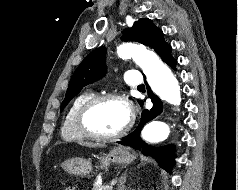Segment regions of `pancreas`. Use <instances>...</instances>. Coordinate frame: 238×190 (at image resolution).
Listing matches in <instances>:
<instances>
[{"instance_id": "cf45deb5", "label": "pancreas", "mask_w": 238, "mask_h": 190, "mask_svg": "<svg viewBox=\"0 0 238 190\" xmlns=\"http://www.w3.org/2000/svg\"><path fill=\"white\" fill-rule=\"evenodd\" d=\"M92 190H113V186H102L98 183V179H96Z\"/></svg>"}]
</instances>
